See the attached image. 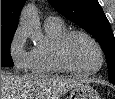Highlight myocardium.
<instances>
[{
	"instance_id": "1",
	"label": "myocardium",
	"mask_w": 115,
	"mask_h": 99,
	"mask_svg": "<svg viewBox=\"0 0 115 99\" xmlns=\"http://www.w3.org/2000/svg\"><path fill=\"white\" fill-rule=\"evenodd\" d=\"M74 36H83L88 39L96 48L99 56V64L96 68L88 71L80 70L74 67L67 58L66 47L68 42ZM55 59L58 64L67 72L79 75V76H91L98 73L104 65V52L99 42L89 33L83 30H69L58 41L55 48Z\"/></svg>"
}]
</instances>
